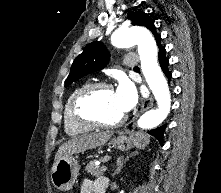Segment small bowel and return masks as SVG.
Masks as SVG:
<instances>
[{"instance_id":"c3829d8e","label":"small bowel","mask_w":221,"mask_h":193,"mask_svg":"<svg viewBox=\"0 0 221 193\" xmlns=\"http://www.w3.org/2000/svg\"><path fill=\"white\" fill-rule=\"evenodd\" d=\"M106 180L103 178L97 179L96 181H85L82 186L81 193H94L97 189H103L106 188Z\"/></svg>"}]
</instances>
